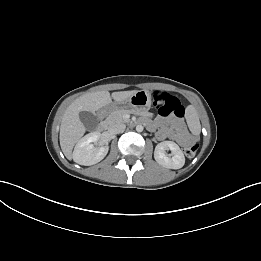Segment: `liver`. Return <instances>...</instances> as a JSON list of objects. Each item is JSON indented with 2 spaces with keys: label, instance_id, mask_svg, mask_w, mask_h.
I'll list each match as a JSON object with an SVG mask.
<instances>
[{
  "label": "liver",
  "instance_id": "liver-1",
  "mask_svg": "<svg viewBox=\"0 0 261 261\" xmlns=\"http://www.w3.org/2000/svg\"><path fill=\"white\" fill-rule=\"evenodd\" d=\"M136 92L137 90L113 92L110 96L108 91H97L87 93L71 103L63 114L59 134L60 146L66 158H72L74 145L86 131L85 126L79 118V113L81 111L94 113L99 109L110 105L112 99L115 102H121L128 99Z\"/></svg>",
  "mask_w": 261,
  "mask_h": 261
}]
</instances>
